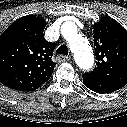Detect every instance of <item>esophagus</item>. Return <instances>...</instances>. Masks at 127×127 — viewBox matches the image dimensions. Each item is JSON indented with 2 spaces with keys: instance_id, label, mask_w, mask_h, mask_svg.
I'll return each mask as SVG.
<instances>
[{
  "instance_id": "obj_1",
  "label": "esophagus",
  "mask_w": 127,
  "mask_h": 127,
  "mask_svg": "<svg viewBox=\"0 0 127 127\" xmlns=\"http://www.w3.org/2000/svg\"><path fill=\"white\" fill-rule=\"evenodd\" d=\"M57 60H58L59 62H66V61H69V60H70V57H68V56H63V55H59V56L57 57Z\"/></svg>"
}]
</instances>
